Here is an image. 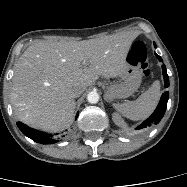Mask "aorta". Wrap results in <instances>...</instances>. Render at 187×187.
I'll use <instances>...</instances> for the list:
<instances>
[{
    "label": "aorta",
    "mask_w": 187,
    "mask_h": 187,
    "mask_svg": "<svg viewBox=\"0 0 187 187\" xmlns=\"http://www.w3.org/2000/svg\"><path fill=\"white\" fill-rule=\"evenodd\" d=\"M87 100L89 103L95 104L99 101V94L95 91H92L87 95Z\"/></svg>",
    "instance_id": "762f6f07"
}]
</instances>
